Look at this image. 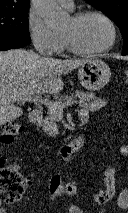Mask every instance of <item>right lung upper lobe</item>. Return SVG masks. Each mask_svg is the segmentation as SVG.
I'll list each match as a JSON object with an SVG mask.
<instances>
[{
	"instance_id": "obj_1",
	"label": "right lung upper lobe",
	"mask_w": 128,
	"mask_h": 213,
	"mask_svg": "<svg viewBox=\"0 0 128 213\" xmlns=\"http://www.w3.org/2000/svg\"><path fill=\"white\" fill-rule=\"evenodd\" d=\"M30 0H0V7L29 6Z\"/></svg>"
}]
</instances>
